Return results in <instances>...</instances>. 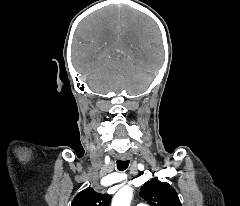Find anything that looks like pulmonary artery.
<instances>
[{
	"label": "pulmonary artery",
	"mask_w": 240,
	"mask_h": 206,
	"mask_svg": "<svg viewBox=\"0 0 240 206\" xmlns=\"http://www.w3.org/2000/svg\"><path fill=\"white\" fill-rule=\"evenodd\" d=\"M137 206H148V205L144 203H139Z\"/></svg>",
	"instance_id": "1"
}]
</instances>
